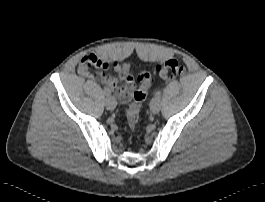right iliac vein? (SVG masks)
Segmentation results:
<instances>
[{
  "label": "right iliac vein",
  "instance_id": "obj_1",
  "mask_svg": "<svg viewBox=\"0 0 265 202\" xmlns=\"http://www.w3.org/2000/svg\"><path fill=\"white\" fill-rule=\"evenodd\" d=\"M106 108L108 110H114L116 105H117V102H116V99L113 97V96H109L107 99H106Z\"/></svg>",
  "mask_w": 265,
  "mask_h": 202
}]
</instances>
